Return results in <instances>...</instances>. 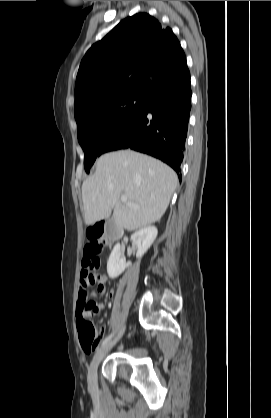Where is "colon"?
Instances as JSON below:
<instances>
[{"instance_id":"obj_1","label":"colon","mask_w":271,"mask_h":418,"mask_svg":"<svg viewBox=\"0 0 271 418\" xmlns=\"http://www.w3.org/2000/svg\"><path fill=\"white\" fill-rule=\"evenodd\" d=\"M108 225L104 221L97 222L91 226H89L86 230V243L84 247V256L91 265L92 271L98 269L99 262L97 259V254L101 251L102 247L106 244L107 236H108ZM94 279V274L90 277V281ZM81 295H86V291L81 292ZM84 305V304H81ZM89 315L90 321L84 322L83 316ZM94 314H81L78 322L77 328L80 338V343L84 351L89 352L96 348L100 334L97 331L92 317Z\"/></svg>"}]
</instances>
